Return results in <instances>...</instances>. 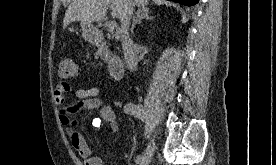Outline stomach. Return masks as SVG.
<instances>
[{
    "label": "stomach",
    "instance_id": "stomach-1",
    "mask_svg": "<svg viewBox=\"0 0 276 165\" xmlns=\"http://www.w3.org/2000/svg\"><path fill=\"white\" fill-rule=\"evenodd\" d=\"M81 28L85 40L92 42L96 39L97 30L90 23H81Z\"/></svg>",
    "mask_w": 276,
    "mask_h": 165
}]
</instances>
